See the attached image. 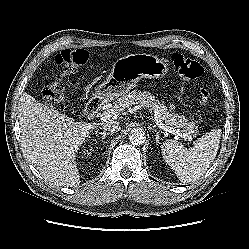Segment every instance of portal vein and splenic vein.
I'll use <instances>...</instances> for the list:
<instances>
[{"mask_svg":"<svg viewBox=\"0 0 249 249\" xmlns=\"http://www.w3.org/2000/svg\"><path fill=\"white\" fill-rule=\"evenodd\" d=\"M118 115H119V113L117 112V110L109 109V110L104 111L100 115V119L102 121H106V120H110V119H116ZM155 123L162 130L167 131V132L172 133V134H175L177 136H180V137L184 138L185 141H187V139H191V137H188V135L186 133H184L183 131H181L179 129L172 128V127H169L159 119H156Z\"/></svg>","mask_w":249,"mask_h":249,"instance_id":"1","label":"portal vein and splenic vein"}]
</instances>
